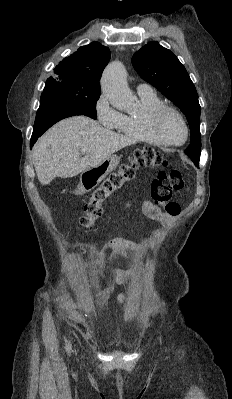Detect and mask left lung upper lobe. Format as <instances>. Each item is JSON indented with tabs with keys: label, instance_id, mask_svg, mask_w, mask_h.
Wrapping results in <instances>:
<instances>
[{
	"label": "left lung upper lobe",
	"instance_id": "left-lung-upper-lobe-1",
	"mask_svg": "<svg viewBox=\"0 0 232 399\" xmlns=\"http://www.w3.org/2000/svg\"><path fill=\"white\" fill-rule=\"evenodd\" d=\"M137 73L186 115L191 142L184 151L197 166L201 153L200 112L196 88L178 58L158 42H150L132 57Z\"/></svg>",
	"mask_w": 232,
	"mask_h": 399
}]
</instances>
